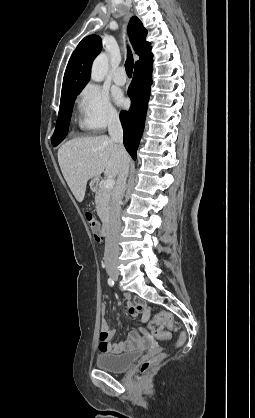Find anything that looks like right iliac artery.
<instances>
[{"label": "right iliac artery", "instance_id": "1", "mask_svg": "<svg viewBox=\"0 0 255 418\" xmlns=\"http://www.w3.org/2000/svg\"><path fill=\"white\" fill-rule=\"evenodd\" d=\"M108 284H109L110 286H113V285H114V280H113L112 278H109V279H108Z\"/></svg>", "mask_w": 255, "mask_h": 418}]
</instances>
